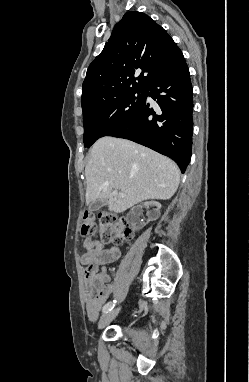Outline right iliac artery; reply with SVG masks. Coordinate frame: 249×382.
<instances>
[{
	"mask_svg": "<svg viewBox=\"0 0 249 382\" xmlns=\"http://www.w3.org/2000/svg\"><path fill=\"white\" fill-rule=\"evenodd\" d=\"M116 300L110 301L103 307V313H108L111 311L115 306Z\"/></svg>",
	"mask_w": 249,
	"mask_h": 382,
	"instance_id": "82829eb1",
	"label": "right iliac artery"
}]
</instances>
